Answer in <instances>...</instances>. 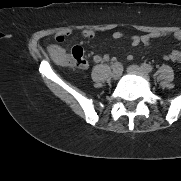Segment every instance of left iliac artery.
I'll return each instance as SVG.
<instances>
[{
  "label": "left iliac artery",
  "mask_w": 181,
  "mask_h": 181,
  "mask_svg": "<svg viewBox=\"0 0 181 181\" xmlns=\"http://www.w3.org/2000/svg\"><path fill=\"white\" fill-rule=\"evenodd\" d=\"M142 68L145 69L148 72H150L152 70V67L150 65H148V64H145V63L142 65Z\"/></svg>",
  "instance_id": "obj_1"
}]
</instances>
